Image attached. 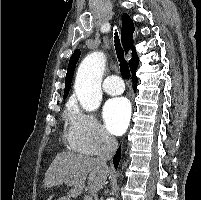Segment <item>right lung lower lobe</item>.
<instances>
[{
	"label": "right lung lower lobe",
	"instance_id": "right-lung-lower-lobe-1",
	"mask_svg": "<svg viewBox=\"0 0 201 200\" xmlns=\"http://www.w3.org/2000/svg\"><path fill=\"white\" fill-rule=\"evenodd\" d=\"M133 74V76H132V80H133V83H134V88H136V86H137V77H136V75H135V72H133L132 73ZM120 149L121 148H119L118 150H117V152H116V154L114 155V158H113V164H114V167H115V169H117V167H118V165H119V161H120V155H121V152H120Z\"/></svg>",
	"mask_w": 201,
	"mask_h": 200
}]
</instances>
